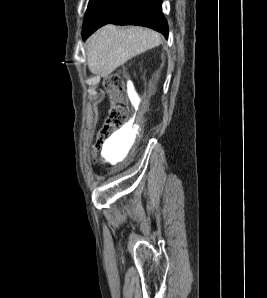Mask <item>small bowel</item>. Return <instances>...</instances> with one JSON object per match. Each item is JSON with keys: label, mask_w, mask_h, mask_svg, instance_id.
Masks as SVG:
<instances>
[{"label": "small bowel", "mask_w": 267, "mask_h": 298, "mask_svg": "<svg viewBox=\"0 0 267 298\" xmlns=\"http://www.w3.org/2000/svg\"><path fill=\"white\" fill-rule=\"evenodd\" d=\"M115 140H116V138L112 136V137L110 138L109 141H110L111 143H113Z\"/></svg>", "instance_id": "c3829d8e"}]
</instances>
